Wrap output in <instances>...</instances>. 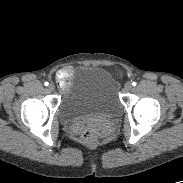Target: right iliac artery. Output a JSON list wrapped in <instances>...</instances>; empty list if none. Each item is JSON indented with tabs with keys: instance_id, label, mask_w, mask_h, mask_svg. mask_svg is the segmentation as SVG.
I'll return each instance as SVG.
<instances>
[{
	"instance_id": "1",
	"label": "right iliac artery",
	"mask_w": 183,
	"mask_h": 183,
	"mask_svg": "<svg viewBox=\"0 0 183 183\" xmlns=\"http://www.w3.org/2000/svg\"><path fill=\"white\" fill-rule=\"evenodd\" d=\"M44 85H45V86H48V85H49V83H48V82H45V83H44Z\"/></svg>"
}]
</instances>
